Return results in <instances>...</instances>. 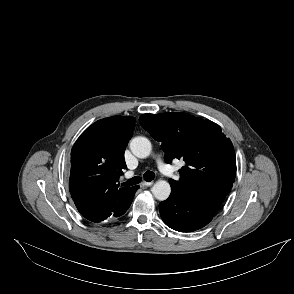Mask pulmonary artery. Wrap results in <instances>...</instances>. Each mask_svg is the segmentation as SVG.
Listing matches in <instances>:
<instances>
[{"mask_svg": "<svg viewBox=\"0 0 294 294\" xmlns=\"http://www.w3.org/2000/svg\"><path fill=\"white\" fill-rule=\"evenodd\" d=\"M157 165L158 168L164 173H168L170 171V168L161 159L157 160ZM129 175H132V173H129Z\"/></svg>", "mask_w": 294, "mask_h": 294, "instance_id": "1", "label": "pulmonary artery"}]
</instances>
